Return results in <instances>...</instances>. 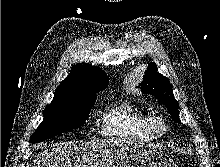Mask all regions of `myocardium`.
<instances>
[{
    "label": "myocardium",
    "instance_id": "myocardium-1",
    "mask_svg": "<svg viewBox=\"0 0 220 167\" xmlns=\"http://www.w3.org/2000/svg\"><path fill=\"white\" fill-rule=\"evenodd\" d=\"M148 130L154 138H161L167 133L168 125L162 118L152 116L148 122Z\"/></svg>",
    "mask_w": 220,
    "mask_h": 167
}]
</instances>
